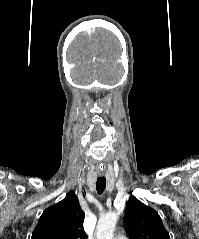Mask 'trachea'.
<instances>
[{
	"instance_id": "obj_1",
	"label": "trachea",
	"mask_w": 199,
	"mask_h": 239,
	"mask_svg": "<svg viewBox=\"0 0 199 239\" xmlns=\"http://www.w3.org/2000/svg\"><path fill=\"white\" fill-rule=\"evenodd\" d=\"M106 188V179L105 177H98L96 182V190L98 194H102Z\"/></svg>"
}]
</instances>
